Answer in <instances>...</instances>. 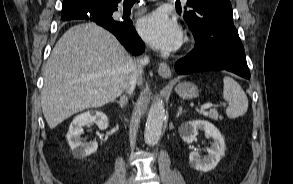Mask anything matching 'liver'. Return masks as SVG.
<instances>
[{
    "instance_id": "obj_1",
    "label": "liver",
    "mask_w": 293,
    "mask_h": 184,
    "mask_svg": "<svg viewBox=\"0 0 293 184\" xmlns=\"http://www.w3.org/2000/svg\"><path fill=\"white\" fill-rule=\"evenodd\" d=\"M133 70V58L110 32L94 23L71 27L43 71L41 106L50 129L80 111L114 101Z\"/></svg>"
}]
</instances>
